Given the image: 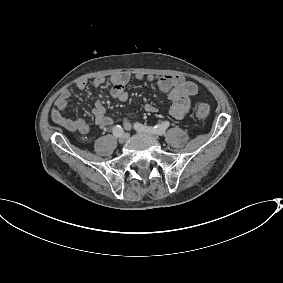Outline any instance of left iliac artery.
Returning <instances> with one entry per match:
<instances>
[{"instance_id": "left-iliac-artery-1", "label": "left iliac artery", "mask_w": 283, "mask_h": 283, "mask_svg": "<svg viewBox=\"0 0 283 283\" xmlns=\"http://www.w3.org/2000/svg\"><path fill=\"white\" fill-rule=\"evenodd\" d=\"M169 125L170 123L168 121H165L161 125H156L154 127L146 126L140 123H135L134 128L157 135H163L166 129L169 127Z\"/></svg>"}]
</instances>
